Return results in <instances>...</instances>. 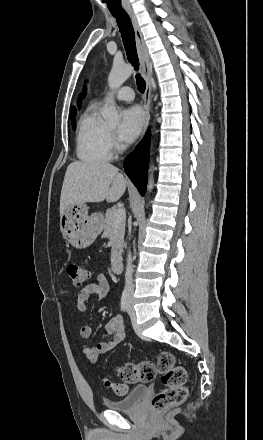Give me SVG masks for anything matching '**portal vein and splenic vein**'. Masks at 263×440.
<instances>
[{
  "mask_svg": "<svg viewBox=\"0 0 263 440\" xmlns=\"http://www.w3.org/2000/svg\"><path fill=\"white\" fill-rule=\"evenodd\" d=\"M126 216L125 210L123 209H118L115 213H114V220L116 223H119L122 219H124Z\"/></svg>",
  "mask_w": 263,
  "mask_h": 440,
  "instance_id": "18ae733b",
  "label": "portal vein and splenic vein"
}]
</instances>
